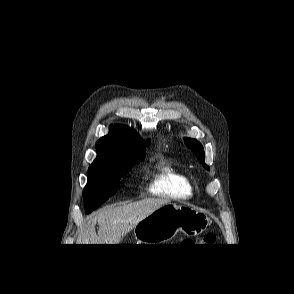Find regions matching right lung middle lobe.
I'll use <instances>...</instances> for the list:
<instances>
[{
    "label": "right lung middle lobe",
    "instance_id": "1",
    "mask_svg": "<svg viewBox=\"0 0 294 294\" xmlns=\"http://www.w3.org/2000/svg\"><path fill=\"white\" fill-rule=\"evenodd\" d=\"M140 158H97L89 167L88 183L84 189L86 212L90 213L118 190L120 178Z\"/></svg>",
    "mask_w": 294,
    "mask_h": 294
}]
</instances>
